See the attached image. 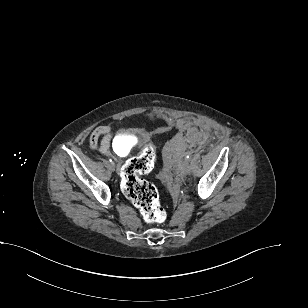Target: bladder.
<instances>
[{"mask_svg":"<svg viewBox=\"0 0 308 308\" xmlns=\"http://www.w3.org/2000/svg\"><path fill=\"white\" fill-rule=\"evenodd\" d=\"M133 137L128 132H120L114 139L113 147L118 155H126L132 147Z\"/></svg>","mask_w":308,"mask_h":308,"instance_id":"1","label":"bladder"}]
</instances>
